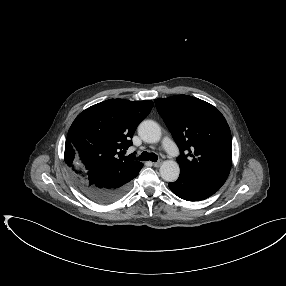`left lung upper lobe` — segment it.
Returning a JSON list of instances; mask_svg holds the SVG:
<instances>
[{"label":"left lung upper lobe","mask_w":286,"mask_h":286,"mask_svg":"<svg viewBox=\"0 0 286 286\" xmlns=\"http://www.w3.org/2000/svg\"><path fill=\"white\" fill-rule=\"evenodd\" d=\"M155 104L180 149V172L222 186L232 165L231 132L223 115L188 95L155 99Z\"/></svg>","instance_id":"1"}]
</instances>
